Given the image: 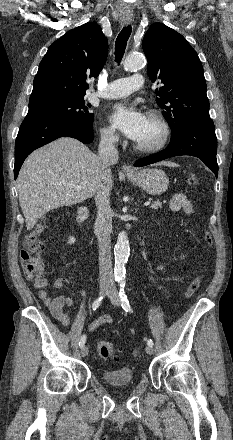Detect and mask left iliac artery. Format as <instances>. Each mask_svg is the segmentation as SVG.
<instances>
[{"instance_id": "1", "label": "left iliac artery", "mask_w": 233, "mask_h": 440, "mask_svg": "<svg viewBox=\"0 0 233 440\" xmlns=\"http://www.w3.org/2000/svg\"><path fill=\"white\" fill-rule=\"evenodd\" d=\"M119 286H120V290H119V296H120V298H121V306H122V308L126 311V312H131V307H130V304H129V301H128V299H127V296H126V294H125V290H124V288H125V280H121L120 282H119ZM147 344L149 345V346H153V341L151 340V339H149L148 341H147Z\"/></svg>"}]
</instances>
